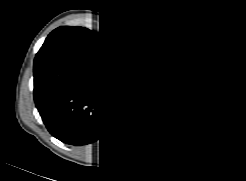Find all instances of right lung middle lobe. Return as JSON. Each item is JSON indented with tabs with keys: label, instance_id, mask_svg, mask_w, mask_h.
<instances>
[{
	"label": "right lung middle lobe",
	"instance_id": "right-lung-middle-lobe-1",
	"mask_svg": "<svg viewBox=\"0 0 246 181\" xmlns=\"http://www.w3.org/2000/svg\"><path fill=\"white\" fill-rule=\"evenodd\" d=\"M110 43L101 31L100 36H97L85 27H58L48 35L36 54L34 66L59 54L78 55L96 66H101V54Z\"/></svg>",
	"mask_w": 246,
	"mask_h": 181
}]
</instances>
